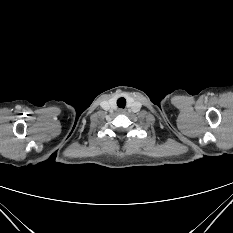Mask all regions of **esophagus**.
<instances>
[{
	"label": "esophagus",
	"mask_w": 233,
	"mask_h": 233,
	"mask_svg": "<svg viewBox=\"0 0 233 233\" xmlns=\"http://www.w3.org/2000/svg\"><path fill=\"white\" fill-rule=\"evenodd\" d=\"M119 113L123 114V113H125V111L123 109H120Z\"/></svg>",
	"instance_id": "obj_1"
}]
</instances>
